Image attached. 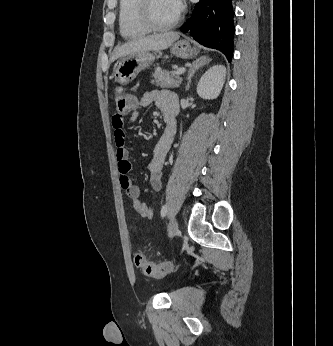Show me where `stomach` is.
Returning <instances> with one entry per match:
<instances>
[{
	"mask_svg": "<svg viewBox=\"0 0 333 346\" xmlns=\"http://www.w3.org/2000/svg\"><path fill=\"white\" fill-rule=\"evenodd\" d=\"M171 53L177 57L187 59L197 55V49L186 40H180L171 45ZM155 53L149 51L138 52L120 58L113 67V77L121 85L132 82L138 73L155 60Z\"/></svg>",
	"mask_w": 333,
	"mask_h": 346,
	"instance_id": "1",
	"label": "stomach"
}]
</instances>
